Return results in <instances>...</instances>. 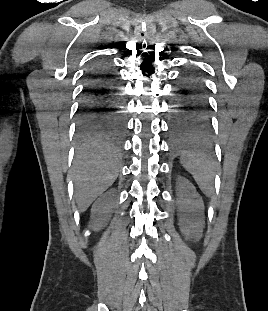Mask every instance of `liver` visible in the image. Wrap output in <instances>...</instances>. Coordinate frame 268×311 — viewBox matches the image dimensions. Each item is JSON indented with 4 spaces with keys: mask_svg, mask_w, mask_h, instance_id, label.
<instances>
[{
    "mask_svg": "<svg viewBox=\"0 0 268 311\" xmlns=\"http://www.w3.org/2000/svg\"><path fill=\"white\" fill-rule=\"evenodd\" d=\"M120 162L106 147L81 150L74 161V184L77 203L82 212L117 178Z\"/></svg>",
    "mask_w": 268,
    "mask_h": 311,
    "instance_id": "1",
    "label": "liver"
}]
</instances>
